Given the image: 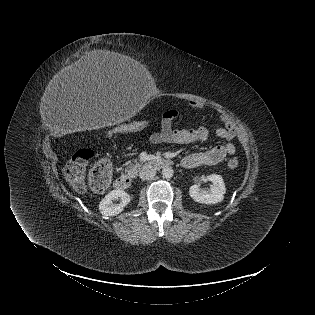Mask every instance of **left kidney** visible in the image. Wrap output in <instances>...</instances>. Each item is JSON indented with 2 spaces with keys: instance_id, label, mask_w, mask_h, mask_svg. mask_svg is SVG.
I'll list each match as a JSON object with an SVG mask.
<instances>
[{
  "instance_id": "5707ae66",
  "label": "left kidney",
  "mask_w": 315,
  "mask_h": 315,
  "mask_svg": "<svg viewBox=\"0 0 315 315\" xmlns=\"http://www.w3.org/2000/svg\"><path fill=\"white\" fill-rule=\"evenodd\" d=\"M207 179L212 182L210 190L205 191L199 185H192L189 189L191 198L202 204H216L223 201L226 193L223 178L220 175L211 174L207 176Z\"/></svg>"
}]
</instances>
